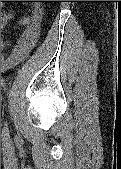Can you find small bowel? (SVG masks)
<instances>
[{"instance_id":"1","label":"small bowel","mask_w":121,"mask_h":169,"mask_svg":"<svg viewBox=\"0 0 121 169\" xmlns=\"http://www.w3.org/2000/svg\"><path fill=\"white\" fill-rule=\"evenodd\" d=\"M12 11L2 14L1 28L6 29L13 19ZM42 11L36 8L30 17L22 18L19 23L24 27L16 41L4 39L1 42V69L8 70L23 61L36 45L40 35Z\"/></svg>"}]
</instances>
